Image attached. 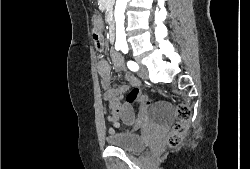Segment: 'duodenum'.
Segmentation results:
<instances>
[{"label": "duodenum", "instance_id": "duodenum-1", "mask_svg": "<svg viewBox=\"0 0 250 169\" xmlns=\"http://www.w3.org/2000/svg\"><path fill=\"white\" fill-rule=\"evenodd\" d=\"M108 36L111 42L115 41V25L113 20H111L110 26L108 28Z\"/></svg>", "mask_w": 250, "mask_h": 169}]
</instances>
